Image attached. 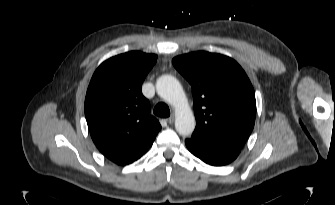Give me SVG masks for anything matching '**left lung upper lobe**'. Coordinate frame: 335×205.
<instances>
[{
  "label": "left lung upper lobe",
  "mask_w": 335,
  "mask_h": 205,
  "mask_svg": "<svg viewBox=\"0 0 335 205\" xmlns=\"http://www.w3.org/2000/svg\"><path fill=\"white\" fill-rule=\"evenodd\" d=\"M172 63L192 87L196 117L192 137L241 149L254 127L256 100L240 65L205 51L177 56Z\"/></svg>",
  "instance_id": "left-lung-upper-lobe-1"
}]
</instances>
